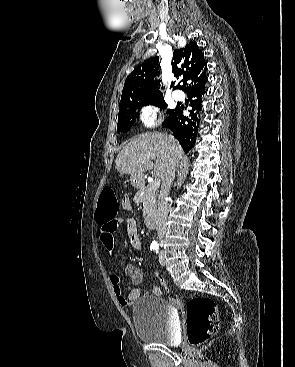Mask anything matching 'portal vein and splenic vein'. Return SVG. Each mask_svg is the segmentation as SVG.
<instances>
[{
    "label": "portal vein and splenic vein",
    "instance_id": "1",
    "mask_svg": "<svg viewBox=\"0 0 295 367\" xmlns=\"http://www.w3.org/2000/svg\"><path fill=\"white\" fill-rule=\"evenodd\" d=\"M152 184H153V186L154 187H159V185H160V180L159 179H155L153 182H152Z\"/></svg>",
    "mask_w": 295,
    "mask_h": 367
}]
</instances>
